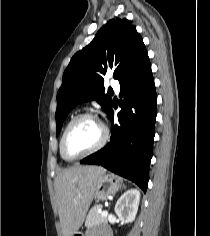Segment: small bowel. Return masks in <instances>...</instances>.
I'll return each mask as SVG.
<instances>
[{
  "mask_svg": "<svg viewBox=\"0 0 210 236\" xmlns=\"http://www.w3.org/2000/svg\"><path fill=\"white\" fill-rule=\"evenodd\" d=\"M87 236H111V234L109 230L101 229L98 232H89Z\"/></svg>",
  "mask_w": 210,
  "mask_h": 236,
  "instance_id": "small-bowel-1",
  "label": "small bowel"
}]
</instances>
